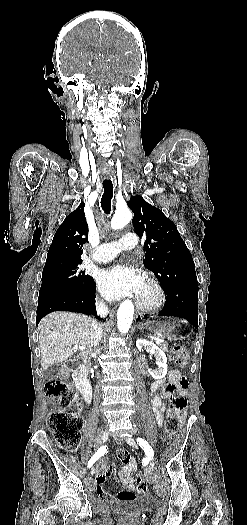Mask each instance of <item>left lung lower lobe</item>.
I'll use <instances>...</instances> for the list:
<instances>
[{
    "label": "left lung lower lobe",
    "instance_id": "1",
    "mask_svg": "<svg viewBox=\"0 0 247 525\" xmlns=\"http://www.w3.org/2000/svg\"><path fill=\"white\" fill-rule=\"evenodd\" d=\"M162 316H176L187 319L198 328V293L195 289H179L166 292ZM140 319V317H138ZM137 319V320H138Z\"/></svg>",
    "mask_w": 247,
    "mask_h": 525
}]
</instances>
